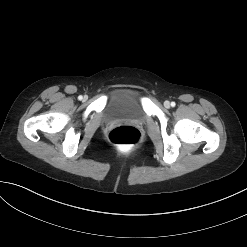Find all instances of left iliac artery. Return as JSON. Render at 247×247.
Here are the masks:
<instances>
[{"mask_svg":"<svg viewBox=\"0 0 247 247\" xmlns=\"http://www.w3.org/2000/svg\"><path fill=\"white\" fill-rule=\"evenodd\" d=\"M176 104L175 102H171V106L174 107Z\"/></svg>","mask_w":247,"mask_h":247,"instance_id":"1","label":"left iliac artery"}]
</instances>
